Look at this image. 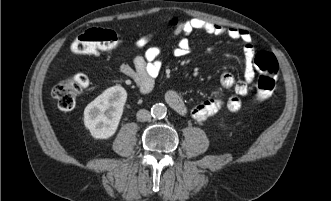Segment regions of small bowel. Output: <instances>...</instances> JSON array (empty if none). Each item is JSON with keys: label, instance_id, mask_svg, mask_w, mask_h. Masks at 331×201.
<instances>
[{"label": "small bowel", "instance_id": "1", "mask_svg": "<svg viewBox=\"0 0 331 201\" xmlns=\"http://www.w3.org/2000/svg\"><path fill=\"white\" fill-rule=\"evenodd\" d=\"M170 24L173 27V37L176 39V45L171 50L173 57L181 58L190 53L188 37L194 31H201L213 36L226 35L231 39L244 42L245 69L243 77L238 80L229 71H224L221 74L220 83L222 87L234 90V94L227 99L208 98L189 108L178 92L168 90L165 94L168 105L180 114H190L197 121L207 119L222 108H227L231 112L239 111L242 106L241 97L248 93L249 87L255 79V69L253 67L255 50L251 33L245 29L225 27L199 18H190L185 21L173 19ZM150 38L151 35L149 34L138 38L135 46L139 49L145 48ZM161 54V47H148L143 54L135 56L132 65L123 63L120 66V72L132 79L142 93H148L152 90L154 79L162 68Z\"/></svg>", "mask_w": 331, "mask_h": 201}]
</instances>
